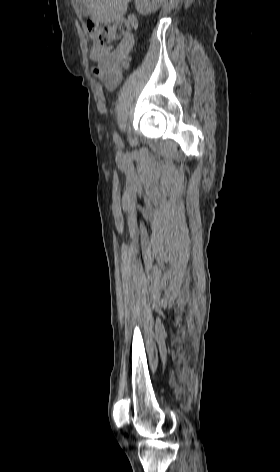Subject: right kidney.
<instances>
[{"label":"right kidney","instance_id":"1","mask_svg":"<svg viewBox=\"0 0 280 472\" xmlns=\"http://www.w3.org/2000/svg\"><path fill=\"white\" fill-rule=\"evenodd\" d=\"M162 0H135V7L142 15H148L156 11L161 5Z\"/></svg>","mask_w":280,"mask_h":472}]
</instances>
